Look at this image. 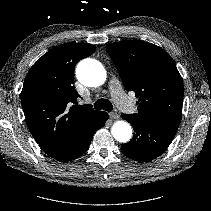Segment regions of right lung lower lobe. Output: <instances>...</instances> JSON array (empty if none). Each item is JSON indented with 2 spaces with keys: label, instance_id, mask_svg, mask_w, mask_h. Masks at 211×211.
<instances>
[{
  "label": "right lung lower lobe",
  "instance_id": "98d812e1",
  "mask_svg": "<svg viewBox=\"0 0 211 211\" xmlns=\"http://www.w3.org/2000/svg\"><path fill=\"white\" fill-rule=\"evenodd\" d=\"M107 119L108 114L102 111L90 122L80 128L62 149L51 154L50 157L61 162L72 161L80 157L88 149L94 133L104 126Z\"/></svg>",
  "mask_w": 211,
  "mask_h": 211
}]
</instances>
